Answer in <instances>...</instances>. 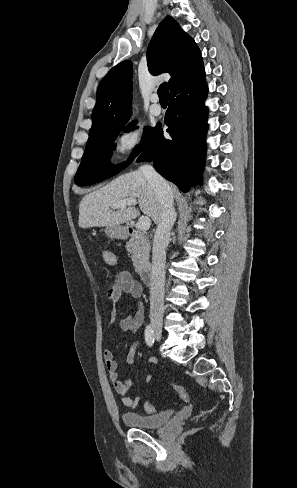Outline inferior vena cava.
I'll return each instance as SVG.
<instances>
[{
    "label": "inferior vena cava",
    "mask_w": 297,
    "mask_h": 488,
    "mask_svg": "<svg viewBox=\"0 0 297 488\" xmlns=\"http://www.w3.org/2000/svg\"><path fill=\"white\" fill-rule=\"evenodd\" d=\"M148 182L153 186L161 204V217L154 235L150 287V316L162 317L164 313V282L166 247L170 231L176 220L173 194L169 184L149 164L140 167Z\"/></svg>",
    "instance_id": "602c4592"
}]
</instances>
